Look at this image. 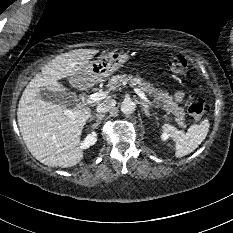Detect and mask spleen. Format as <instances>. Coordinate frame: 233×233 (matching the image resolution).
<instances>
[{
  "instance_id": "spleen-1",
  "label": "spleen",
  "mask_w": 233,
  "mask_h": 233,
  "mask_svg": "<svg viewBox=\"0 0 233 233\" xmlns=\"http://www.w3.org/2000/svg\"><path fill=\"white\" fill-rule=\"evenodd\" d=\"M163 135L172 137L175 142L176 157H182L193 152L206 138L209 131V120L206 118L200 124L192 125L187 133L177 130L170 124L162 126Z\"/></svg>"
}]
</instances>
